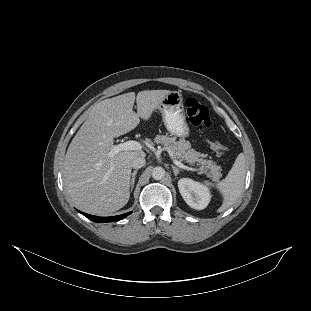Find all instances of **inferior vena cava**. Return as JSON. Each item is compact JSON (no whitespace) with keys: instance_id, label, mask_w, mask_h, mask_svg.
Wrapping results in <instances>:
<instances>
[{"instance_id":"602c4592","label":"inferior vena cava","mask_w":311,"mask_h":311,"mask_svg":"<svg viewBox=\"0 0 311 311\" xmlns=\"http://www.w3.org/2000/svg\"><path fill=\"white\" fill-rule=\"evenodd\" d=\"M146 160L144 157H136L131 161V167L133 169H139L145 166Z\"/></svg>"}]
</instances>
